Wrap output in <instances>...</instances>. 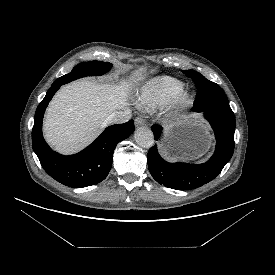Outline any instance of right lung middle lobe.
<instances>
[{
	"label": "right lung middle lobe",
	"mask_w": 275,
	"mask_h": 275,
	"mask_svg": "<svg viewBox=\"0 0 275 275\" xmlns=\"http://www.w3.org/2000/svg\"><path fill=\"white\" fill-rule=\"evenodd\" d=\"M111 67L112 64L99 61L80 63L76 65L70 73L58 78L56 81H61L63 84H66L80 77L102 75Z\"/></svg>",
	"instance_id": "right-lung-middle-lobe-1"
}]
</instances>
